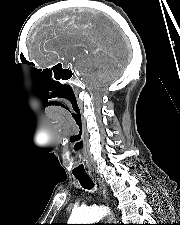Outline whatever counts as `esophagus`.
I'll list each match as a JSON object with an SVG mask.
<instances>
[{
  "label": "esophagus",
  "instance_id": "1",
  "mask_svg": "<svg viewBox=\"0 0 180 225\" xmlns=\"http://www.w3.org/2000/svg\"><path fill=\"white\" fill-rule=\"evenodd\" d=\"M95 180L99 183V186H100V189H101V192H102V195L104 197V200L109 203V193H108V190L105 186V184L103 183V181H101L99 178H95ZM108 222L109 223H114L115 222V215L113 212H111L108 216Z\"/></svg>",
  "mask_w": 180,
  "mask_h": 225
}]
</instances>
